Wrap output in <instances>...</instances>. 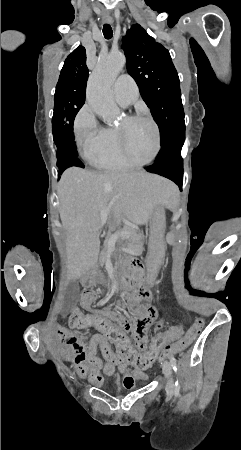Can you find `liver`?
Returning a JSON list of instances; mask_svg holds the SVG:
<instances>
[{
    "label": "liver",
    "mask_w": 241,
    "mask_h": 450,
    "mask_svg": "<svg viewBox=\"0 0 241 450\" xmlns=\"http://www.w3.org/2000/svg\"><path fill=\"white\" fill-rule=\"evenodd\" d=\"M169 182L144 172H89L68 168L58 182L59 214L67 230L68 268L80 278L95 268L99 230L125 216L133 224L147 222L154 206L167 204Z\"/></svg>",
    "instance_id": "liver-1"
}]
</instances>
